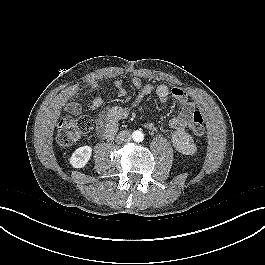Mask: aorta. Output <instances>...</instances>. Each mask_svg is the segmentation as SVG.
Segmentation results:
<instances>
[{
  "mask_svg": "<svg viewBox=\"0 0 265 265\" xmlns=\"http://www.w3.org/2000/svg\"><path fill=\"white\" fill-rule=\"evenodd\" d=\"M132 138L136 142H141L144 139V134L137 130L132 133Z\"/></svg>",
  "mask_w": 265,
  "mask_h": 265,
  "instance_id": "762f6f07",
  "label": "aorta"
}]
</instances>
